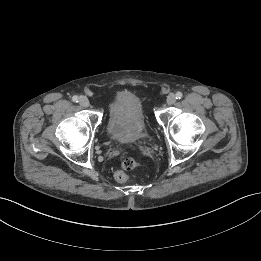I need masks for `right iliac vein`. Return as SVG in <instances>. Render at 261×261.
<instances>
[{"label":"right iliac vein","mask_w":261,"mask_h":261,"mask_svg":"<svg viewBox=\"0 0 261 261\" xmlns=\"http://www.w3.org/2000/svg\"><path fill=\"white\" fill-rule=\"evenodd\" d=\"M79 104L82 107H88L90 105L89 100L86 97H81L80 101H79Z\"/></svg>","instance_id":"right-iliac-vein-1"}]
</instances>
